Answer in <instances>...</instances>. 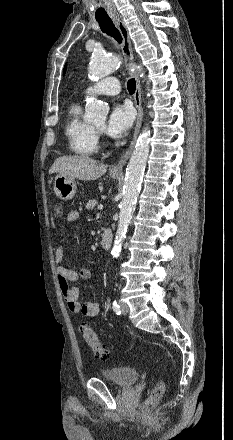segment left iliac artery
I'll use <instances>...</instances> for the list:
<instances>
[{
    "label": "left iliac artery",
    "mask_w": 233,
    "mask_h": 440,
    "mask_svg": "<svg viewBox=\"0 0 233 440\" xmlns=\"http://www.w3.org/2000/svg\"><path fill=\"white\" fill-rule=\"evenodd\" d=\"M112 308H113V311H114L117 315L121 314L120 306L117 304L116 301L113 302V306H112Z\"/></svg>",
    "instance_id": "left-iliac-artery-1"
}]
</instances>
